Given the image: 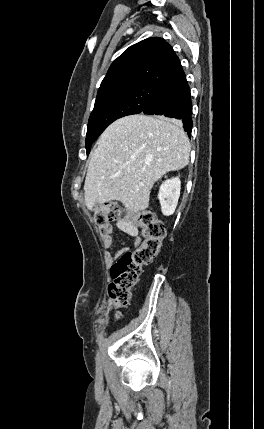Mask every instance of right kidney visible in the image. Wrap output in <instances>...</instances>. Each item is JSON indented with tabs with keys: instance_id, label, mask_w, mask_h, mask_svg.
<instances>
[{
	"instance_id": "obj_1",
	"label": "right kidney",
	"mask_w": 264,
	"mask_h": 429,
	"mask_svg": "<svg viewBox=\"0 0 264 429\" xmlns=\"http://www.w3.org/2000/svg\"><path fill=\"white\" fill-rule=\"evenodd\" d=\"M180 189L181 181L179 177L166 180L161 184L158 199L163 215L170 216L174 213L178 204Z\"/></svg>"
}]
</instances>
